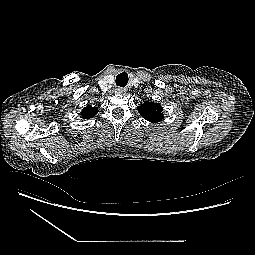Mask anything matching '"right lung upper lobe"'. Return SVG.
<instances>
[{
  "instance_id": "cb5924a9",
  "label": "right lung upper lobe",
  "mask_w": 255,
  "mask_h": 255,
  "mask_svg": "<svg viewBox=\"0 0 255 255\" xmlns=\"http://www.w3.org/2000/svg\"><path fill=\"white\" fill-rule=\"evenodd\" d=\"M97 112V107H92L91 105H88L82 110L81 115L84 119H89L94 117Z\"/></svg>"
}]
</instances>
